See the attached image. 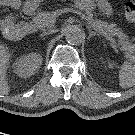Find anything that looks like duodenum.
<instances>
[{
    "mask_svg": "<svg viewBox=\"0 0 135 135\" xmlns=\"http://www.w3.org/2000/svg\"><path fill=\"white\" fill-rule=\"evenodd\" d=\"M32 28L33 24L29 22H23L18 25L13 24L12 22H6L3 31L6 37L18 40L28 35Z\"/></svg>",
    "mask_w": 135,
    "mask_h": 135,
    "instance_id": "obj_1",
    "label": "duodenum"
}]
</instances>
